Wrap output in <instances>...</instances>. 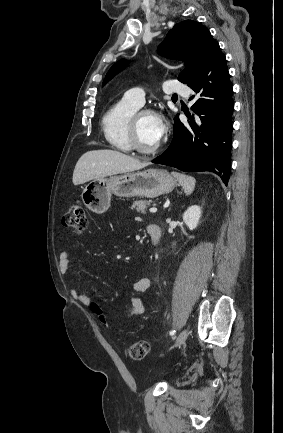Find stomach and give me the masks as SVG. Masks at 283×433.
Returning a JSON list of instances; mask_svg holds the SVG:
<instances>
[{"label": "stomach", "instance_id": "0dacf381", "mask_svg": "<svg viewBox=\"0 0 283 433\" xmlns=\"http://www.w3.org/2000/svg\"><path fill=\"white\" fill-rule=\"evenodd\" d=\"M176 180L163 168H147L141 172H124L118 176L93 178L81 194L82 200L93 212H105L110 206L111 194L117 196H147L155 198L159 194L171 192Z\"/></svg>", "mask_w": 283, "mask_h": 433}]
</instances>
